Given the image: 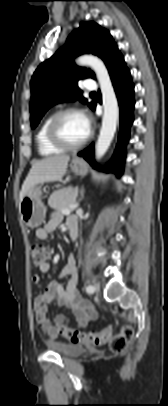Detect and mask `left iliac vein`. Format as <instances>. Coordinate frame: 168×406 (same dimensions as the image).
<instances>
[{
  "label": "left iliac vein",
  "instance_id": "1",
  "mask_svg": "<svg viewBox=\"0 0 168 406\" xmlns=\"http://www.w3.org/2000/svg\"><path fill=\"white\" fill-rule=\"evenodd\" d=\"M93 287H94V289H95V291H96V292H98V291H99V289H100V287H99V285H98V284H94V286H93Z\"/></svg>",
  "mask_w": 168,
  "mask_h": 406
}]
</instances>
